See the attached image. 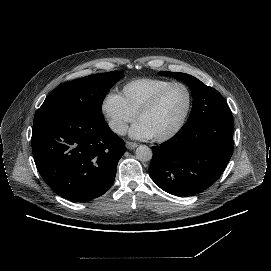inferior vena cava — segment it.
Segmentation results:
<instances>
[{"instance_id": "inferior-vena-cava-1", "label": "inferior vena cava", "mask_w": 271, "mask_h": 271, "mask_svg": "<svg viewBox=\"0 0 271 271\" xmlns=\"http://www.w3.org/2000/svg\"><path fill=\"white\" fill-rule=\"evenodd\" d=\"M109 126L118 135H126L128 131V125L121 120H112L109 122Z\"/></svg>"}]
</instances>
